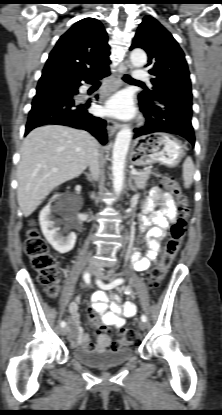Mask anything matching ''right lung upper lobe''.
<instances>
[{"mask_svg": "<svg viewBox=\"0 0 222 415\" xmlns=\"http://www.w3.org/2000/svg\"><path fill=\"white\" fill-rule=\"evenodd\" d=\"M110 47L100 21L85 18L63 34L43 70L54 69L77 77L91 76L109 70Z\"/></svg>", "mask_w": 222, "mask_h": 415, "instance_id": "right-lung-upper-lobe-1", "label": "right lung upper lobe"}]
</instances>
